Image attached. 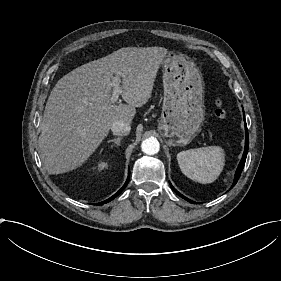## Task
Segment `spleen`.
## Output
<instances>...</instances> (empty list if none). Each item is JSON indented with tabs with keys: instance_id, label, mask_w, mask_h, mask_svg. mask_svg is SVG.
<instances>
[{
	"instance_id": "1",
	"label": "spleen",
	"mask_w": 281,
	"mask_h": 281,
	"mask_svg": "<svg viewBox=\"0 0 281 281\" xmlns=\"http://www.w3.org/2000/svg\"><path fill=\"white\" fill-rule=\"evenodd\" d=\"M224 147L212 145L179 152L177 161L182 173L191 180L203 184L214 183L224 170L226 162Z\"/></svg>"
}]
</instances>
